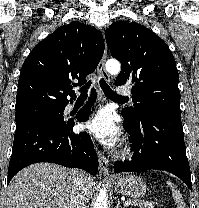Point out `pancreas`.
I'll return each instance as SVG.
<instances>
[{
    "label": "pancreas",
    "instance_id": "1",
    "mask_svg": "<svg viewBox=\"0 0 199 208\" xmlns=\"http://www.w3.org/2000/svg\"><path fill=\"white\" fill-rule=\"evenodd\" d=\"M129 203L133 206H138L139 208H154L152 203H147L142 200H130Z\"/></svg>",
    "mask_w": 199,
    "mask_h": 208
}]
</instances>
